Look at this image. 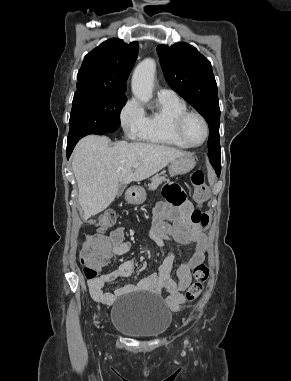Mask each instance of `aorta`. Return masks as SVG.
Returning a JSON list of instances; mask_svg holds the SVG:
<instances>
[{
	"mask_svg": "<svg viewBox=\"0 0 291 381\" xmlns=\"http://www.w3.org/2000/svg\"><path fill=\"white\" fill-rule=\"evenodd\" d=\"M155 71L156 64L151 58L144 59L134 70L132 92L143 103H147L152 98Z\"/></svg>",
	"mask_w": 291,
	"mask_h": 381,
	"instance_id": "762f6f07",
	"label": "aorta"
}]
</instances>
